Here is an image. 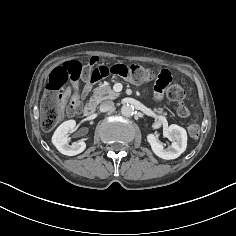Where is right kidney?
<instances>
[{
  "instance_id": "right-kidney-1",
  "label": "right kidney",
  "mask_w": 236,
  "mask_h": 236,
  "mask_svg": "<svg viewBox=\"0 0 236 236\" xmlns=\"http://www.w3.org/2000/svg\"><path fill=\"white\" fill-rule=\"evenodd\" d=\"M75 126V120H67L63 122L53 134L52 143L57 150L64 155L74 156L83 152L86 148V143L82 140L69 144L68 133L74 131Z\"/></svg>"
}]
</instances>
